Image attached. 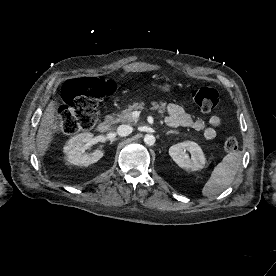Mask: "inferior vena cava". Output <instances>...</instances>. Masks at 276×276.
Returning <instances> with one entry per match:
<instances>
[{
    "label": "inferior vena cava",
    "mask_w": 276,
    "mask_h": 276,
    "mask_svg": "<svg viewBox=\"0 0 276 276\" xmlns=\"http://www.w3.org/2000/svg\"><path fill=\"white\" fill-rule=\"evenodd\" d=\"M132 131H133V128L130 125H120L117 128V133L121 137L128 136L129 134L132 133Z\"/></svg>",
    "instance_id": "inferior-vena-cava-1"
}]
</instances>
